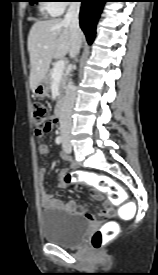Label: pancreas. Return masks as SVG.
<instances>
[{
  "label": "pancreas",
  "mask_w": 158,
  "mask_h": 275,
  "mask_svg": "<svg viewBox=\"0 0 158 275\" xmlns=\"http://www.w3.org/2000/svg\"><path fill=\"white\" fill-rule=\"evenodd\" d=\"M52 73H53V69L49 70V73L47 75L49 89L51 88V85L54 81V79L52 77ZM66 82H67V77H66V75L62 74V76L59 79V92H60V95L58 97V100H60L63 96V91L66 87Z\"/></svg>",
  "instance_id": "cf45deb5"
}]
</instances>
